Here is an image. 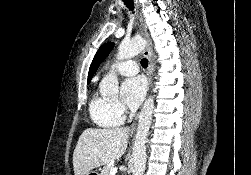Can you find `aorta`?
I'll use <instances>...</instances> for the list:
<instances>
[{"mask_svg": "<svg viewBox=\"0 0 251 175\" xmlns=\"http://www.w3.org/2000/svg\"><path fill=\"white\" fill-rule=\"evenodd\" d=\"M145 46V40L143 38H133L130 42H121L117 54V60H128V58H134L136 54H140ZM100 91L104 95H117L118 78L115 74H108L105 78H102L99 84ZM154 111V97L150 95L143 103V107L140 111L138 127L136 129V135L133 143V175H143L145 171L146 163V139L150 125L152 123V113Z\"/></svg>", "mask_w": 251, "mask_h": 175, "instance_id": "aorta-1", "label": "aorta"}]
</instances>
